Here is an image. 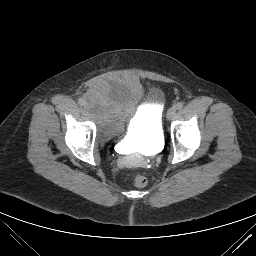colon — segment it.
I'll list each match as a JSON object with an SVG mask.
<instances>
[{
    "label": "colon",
    "mask_w": 256,
    "mask_h": 256,
    "mask_svg": "<svg viewBox=\"0 0 256 256\" xmlns=\"http://www.w3.org/2000/svg\"><path fill=\"white\" fill-rule=\"evenodd\" d=\"M133 184L138 188L145 187L147 185V178L144 175L138 174L134 177Z\"/></svg>",
    "instance_id": "1"
}]
</instances>
